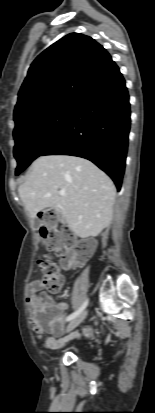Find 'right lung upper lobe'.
<instances>
[{"label": "right lung upper lobe", "mask_w": 155, "mask_h": 413, "mask_svg": "<svg viewBox=\"0 0 155 413\" xmlns=\"http://www.w3.org/2000/svg\"><path fill=\"white\" fill-rule=\"evenodd\" d=\"M119 72L110 54L89 36L71 33L31 64L18 93L15 128L65 104H77Z\"/></svg>", "instance_id": "right-lung-upper-lobe-1"}]
</instances>
